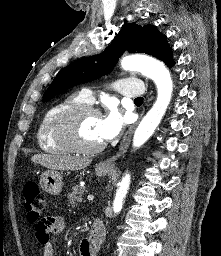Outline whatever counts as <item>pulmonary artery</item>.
<instances>
[{
	"mask_svg": "<svg viewBox=\"0 0 221 256\" xmlns=\"http://www.w3.org/2000/svg\"><path fill=\"white\" fill-rule=\"evenodd\" d=\"M116 88L120 94L127 97H138L144 92L143 83L140 80L132 78L119 80ZM81 94L88 103H91L94 100L93 93L90 89L84 88L81 91Z\"/></svg>",
	"mask_w": 221,
	"mask_h": 256,
	"instance_id": "e3ab8cb5",
	"label": "pulmonary artery"
}]
</instances>
